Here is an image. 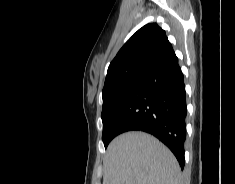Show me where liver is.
<instances>
[{
    "label": "liver",
    "mask_w": 235,
    "mask_h": 184,
    "mask_svg": "<svg viewBox=\"0 0 235 184\" xmlns=\"http://www.w3.org/2000/svg\"><path fill=\"white\" fill-rule=\"evenodd\" d=\"M103 184H181L172 152L144 132H126L109 144Z\"/></svg>",
    "instance_id": "obj_1"
}]
</instances>
